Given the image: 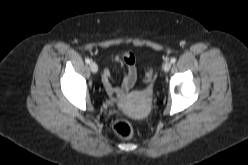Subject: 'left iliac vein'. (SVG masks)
<instances>
[{
	"instance_id": "obj_1",
	"label": "left iliac vein",
	"mask_w": 248,
	"mask_h": 165,
	"mask_svg": "<svg viewBox=\"0 0 248 165\" xmlns=\"http://www.w3.org/2000/svg\"><path fill=\"white\" fill-rule=\"evenodd\" d=\"M171 68V63L170 62H166L163 66V69L165 72H168Z\"/></svg>"
}]
</instances>
